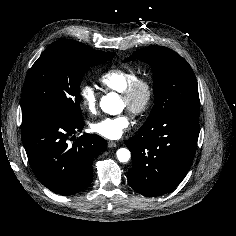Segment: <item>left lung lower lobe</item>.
I'll list each match as a JSON object with an SVG mask.
<instances>
[{
    "label": "left lung lower lobe",
    "mask_w": 236,
    "mask_h": 236,
    "mask_svg": "<svg viewBox=\"0 0 236 236\" xmlns=\"http://www.w3.org/2000/svg\"><path fill=\"white\" fill-rule=\"evenodd\" d=\"M198 136L199 113H173L143 125L125 142L132 154L130 186L146 197L175 189L191 166Z\"/></svg>",
    "instance_id": "1"
}]
</instances>
